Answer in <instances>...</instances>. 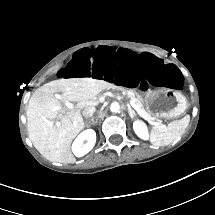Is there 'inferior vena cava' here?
I'll return each instance as SVG.
<instances>
[{
    "instance_id": "602c4592",
    "label": "inferior vena cava",
    "mask_w": 215,
    "mask_h": 215,
    "mask_svg": "<svg viewBox=\"0 0 215 215\" xmlns=\"http://www.w3.org/2000/svg\"><path fill=\"white\" fill-rule=\"evenodd\" d=\"M96 112V107L94 105H87L82 110V115L84 118H90Z\"/></svg>"
}]
</instances>
